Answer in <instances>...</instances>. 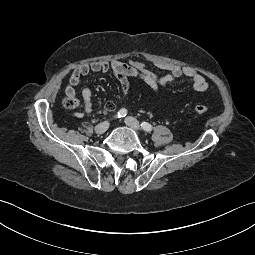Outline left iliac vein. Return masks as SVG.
I'll return each mask as SVG.
<instances>
[{
  "mask_svg": "<svg viewBox=\"0 0 255 255\" xmlns=\"http://www.w3.org/2000/svg\"><path fill=\"white\" fill-rule=\"evenodd\" d=\"M125 123L132 129H134L135 131H139L140 130V124L139 122L133 118V117H127L125 118Z\"/></svg>",
  "mask_w": 255,
  "mask_h": 255,
  "instance_id": "1",
  "label": "left iliac vein"
}]
</instances>
